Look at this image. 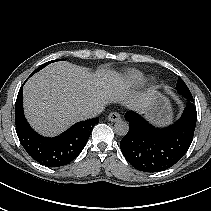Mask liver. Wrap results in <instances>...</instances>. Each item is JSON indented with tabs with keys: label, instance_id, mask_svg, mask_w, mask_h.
<instances>
[{
	"label": "liver",
	"instance_id": "1",
	"mask_svg": "<svg viewBox=\"0 0 211 211\" xmlns=\"http://www.w3.org/2000/svg\"><path fill=\"white\" fill-rule=\"evenodd\" d=\"M117 72L101 70L92 74L69 62L50 64L32 76L24 86L25 115L39 133L53 136L86 119L90 107L119 101L145 113L154 90L135 93Z\"/></svg>",
	"mask_w": 211,
	"mask_h": 211
}]
</instances>
